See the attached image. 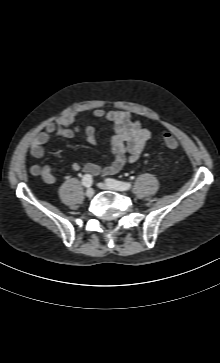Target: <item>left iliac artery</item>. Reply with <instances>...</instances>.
Returning <instances> with one entry per match:
<instances>
[{
    "mask_svg": "<svg viewBox=\"0 0 220 363\" xmlns=\"http://www.w3.org/2000/svg\"><path fill=\"white\" fill-rule=\"evenodd\" d=\"M106 183L120 189L121 191L129 190L132 186L130 182H122L111 178H107Z\"/></svg>",
    "mask_w": 220,
    "mask_h": 363,
    "instance_id": "left-iliac-artery-1",
    "label": "left iliac artery"
}]
</instances>
